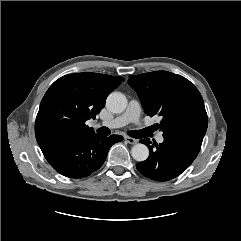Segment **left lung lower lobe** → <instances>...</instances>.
I'll list each match as a JSON object with an SVG mask.
<instances>
[{
  "mask_svg": "<svg viewBox=\"0 0 241 241\" xmlns=\"http://www.w3.org/2000/svg\"><path fill=\"white\" fill-rule=\"evenodd\" d=\"M164 142L153 143L149 139L140 140L148 146L147 160L136 167L145 177L155 181H169L179 176L194 161L199 153L203 137L201 135L163 136Z\"/></svg>",
  "mask_w": 241,
  "mask_h": 241,
  "instance_id": "obj_1",
  "label": "left lung lower lobe"
}]
</instances>
